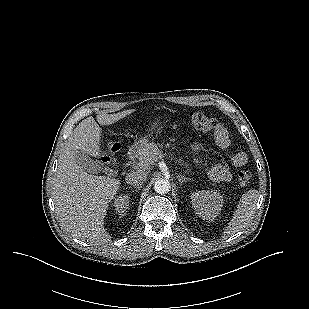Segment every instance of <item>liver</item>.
<instances>
[{"mask_svg": "<svg viewBox=\"0 0 309 309\" xmlns=\"http://www.w3.org/2000/svg\"><path fill=\"white\" fill-rule=\"evenodd\" d=\"M133 112L134 109H129L103 114L97 121L101 125H111ZM101 133L93 117L79 123L60 155L53 184V201L61 224L73 237L96 245L110 241L104 229V218L120 181L89 174L78 165L75 152L80 150L87 155L100 156Z\"/></svg>", "mask_w": 309, "mask_h": 309, "instance_id": "6515ba94", "label": "liver"}]
</instances>
